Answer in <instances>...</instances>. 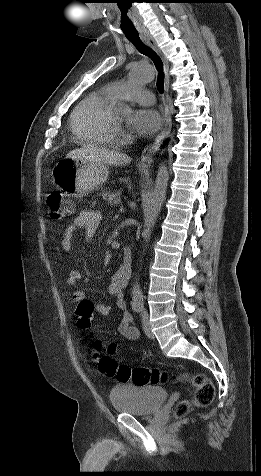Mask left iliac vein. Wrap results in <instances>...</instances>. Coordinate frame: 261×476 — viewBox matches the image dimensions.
Instances as JSON below:
<instances>
[{
	"mask_svg": "<svg viewBox=\"0 0 261 476\" xmlns=\"http://www.w3.org/2000/svg\"><path fill=\"white\" fill-rule=\"evenodd\" d=\"M142 322H143V330L146 334L147 337L153 339L154 334L151 331L150 323H149V316L146 312H144L142 316Z\"/></svg>",
	"mask_w": 261,
	"mask_h": 476,
	"instance_id": "1",
	"label": "left iliac vein"
}]
</instances>
